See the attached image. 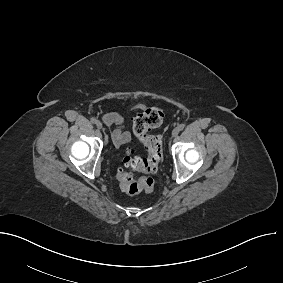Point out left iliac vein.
<instances>
[{
  "mask_svg": "<svg viewBox=\"0 0 283 283\" xmlns=\"http://www.w3.org/2000/svg\"><path fill=\"white\" fill-rule=\"evenodd\" d=\"M179 131H180V130H179L178 128L173 129V131H172V136H173V137H176V136L178 135Z\"/></svg>",
  "mask_w": 283,
  "mask_h": 283,
  "instance_id": "obj_1",
  "label": "left iliac vein"
}]
</instances>
